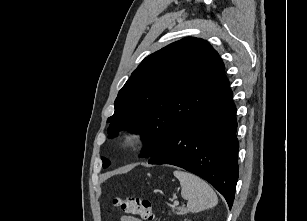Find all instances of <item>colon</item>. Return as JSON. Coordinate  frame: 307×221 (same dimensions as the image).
<instances>
[{
	"mask_svg": "<svg viewBox=\"0 0 307 221\" xmlns=\"http://www.w3.org/2000/svg\"><path fill=\"white\" fill-rule=\"evenodd\" d=\"M113 203L126 213L140 216L145 220H153L155 217L154 206L149 200L139 197L115 198Z\"/></svg>",
	"mask_w": 307,
	"mask_h": 221,
	"instance_id": "5ec220e1",
	"label": "colon"
}]
</instances>
